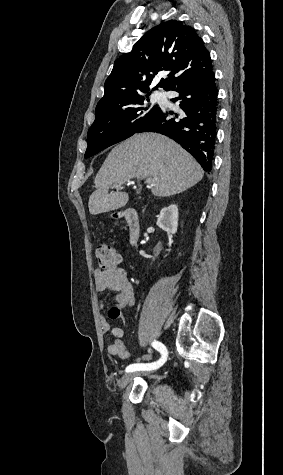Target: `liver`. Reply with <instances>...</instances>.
<instances>
[{
	"label": "liver",
	"instance_id": "liver-1",
	"mask_svg": "<svg viewBox=\"0 0 283 475\" xmlns=\"http://www.w3.org/2000/svg\"><path fill=\"white\" fill-rule=\"evenodd\" d=\"M204 172L191 154L162 134H134L113 148L95 180L88 202L90 214L123 208L128 194H108L110 186H121L132 178H151L154 196H174L202 180Z\"/></svg>",
	"mask_w": 283,
	"mask_h": 475
}]
</instances>
